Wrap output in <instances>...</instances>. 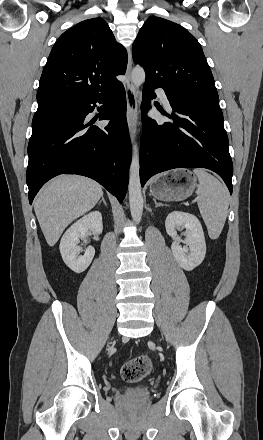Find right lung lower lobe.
Segmentation results:
<instances>
[{"mask_svg": "<svg viewBox=\"0 0 263 440\" xmlns=\"http://www.w3.org/2000/svg\"><path fill=\"white\" fill-rule=\"evenodd\" d=\"M103 104L104 128L85 124L96 103ZM26 180L29 202L59 174H78L99 182L122 203L128 181L131 144L126 122V94L118 83L96 94L68 102L65 115L32 132Z\"/></svg>", "mask_w": 263, "mask_h": 440, "instance_id": "98d812e1", "label": "right lung lower lobe"}]
</instances>
